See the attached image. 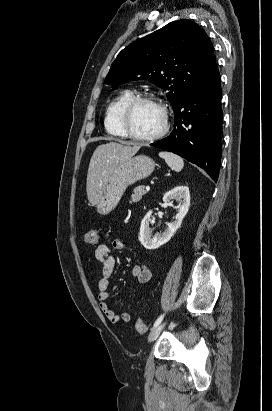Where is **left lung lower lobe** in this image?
Listing matches in <instances>:
<instances>
[{
	"mask_svg": "<svg viewBox=\"0 0 272 411\" xmlns=\"http://www.w3.org/2000/svg\"><path fill=\"white\" fill-rule=\"evenodd\" d=\"M221 82L215 64L174 108L172 133L152 146L173 152L203 168L217 181L221 161Z\"/></svg>",
	"mask_w": 272,
	"mask_h": 411,
	"instance_id": "obj_1",
	"label": "left lung lower lobe"
}]
</instances>
